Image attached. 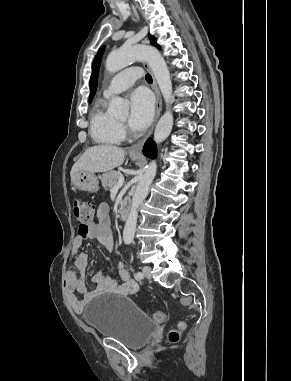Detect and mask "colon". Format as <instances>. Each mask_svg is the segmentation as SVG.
<instances>
[{
    "mask_svg": "<svg viewBox=\"0 0 291 381\" xmlns=\"http://www.w3.org/2000/svg\"><path fill=\"white\" fill-rule=\"evenodd\" d=\"M72 213L75 219L80 223V227L82 229H87V227L92 223L94 208L91 203L87 201L74 200L72 203ZM149 317L155 323H162L165 320V314L161 311L153 312ZM183 328L184 324L179 323L176 328L170 330L168 335L169 340L171 342H177Z\"/></svg>",
    "mask_w": 291,
    "mask_h": 381,
    "instance_id": "obj_1",
    "label": "colon"
}]
</instances>
